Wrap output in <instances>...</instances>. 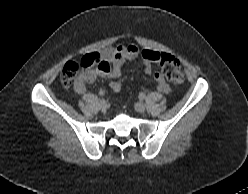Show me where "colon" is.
<instances>
[{"mask_svg":"<svg viewBox=\"0 0 248 194\" xmlns=\"http://www.w3.org/2000/svg\"><path fill=\"white\" fill-rule=\"evenodd\" d=\"M154 61L161 68V74L165 79L175 85H179L184 81V72L176 57L168 53H156L153 57ZM95 63L93 54H87L79 62L68 61L61 72V83L64 87H71L76 84L81 76V69L92 66ZM111 88L118 91L121 84L112 82Z\"/></svg>","mask_w":248,"mask_h":194,"instance_id":"obj_1","label":"colon"}]
</instances>
